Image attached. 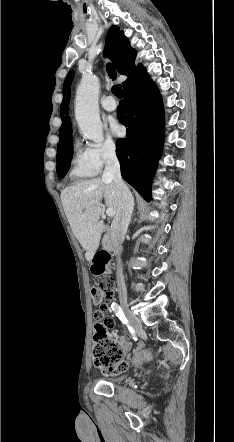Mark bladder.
I'll list each match as a JSON object with an SVG mask.
<instances>
[{
    "label": "bladder",
    "mask_w": 234,
    "mask_h": 442,
    "mask_svg": "<svg viewBox=\"0 0 234 442\" xmlns=\"http://www.w3.org/2000/svg\"><path fill=\"white\" fill-rule=\"evenodd\" d=\"M105 381L114 383V382L117 381V379H115V378H107V379H105Z\"/></svg>",
    "instance_id": "obj_1"
}]
</instances>
